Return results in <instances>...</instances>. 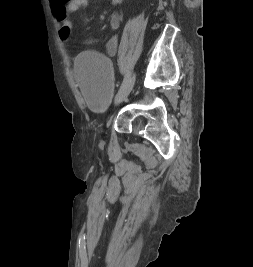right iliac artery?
<instances>
[{
	"instance_id": "obj_1",
	"label": "right iliac artery",
	"mask_w": 253,
	"mask_h": 267,
	"mask_svg": "<svg viewBox=\"0 0 253 267\" xmlns=\"http://www.w3.org/2000/svg\"><path fill=\"white\" fill-rule=\"evenodd\" d=\"M129 78H130V72H126L124 75L122 86H124V84L129 80Z\"/></svg>"
}]
</instances>
